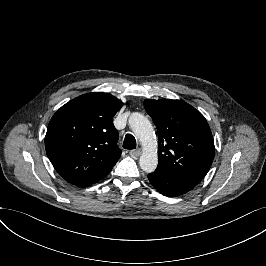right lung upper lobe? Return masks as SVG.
Masks as SVG:
<instances>
[{"mask_svg": "<svg viewBox=\"0 0 266 266\" xmlns=\"http://www.w3.org/2000/svg\"><path fill=\"white\" fill-rule=\"evenodd\" d=\"M123 102L108 93L81 95L62 106L47 128L45 148L56 171L87 187L106 177L121 156L112 118Z\"/></svg>", "mask_w": 266, "mask_h": 266, "instance_id": "cb5924a9", "label": "right lung upper lobe"}]
</instances>
